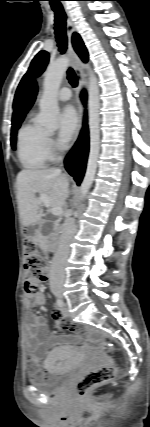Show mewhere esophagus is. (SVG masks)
<instances>
[{
	"instance_id": "esophagus-1",
	"label": "esophagus",
	"mask_w": 150,
	"mask_h": 427,
	"mask_svg": "<svg viewBox=\"0 0 150 427\" xmlns=\"http://www.w3.org/2000/svg\"><path fill=\"white\" fill-rule=\"evenodd\" d=\"M65 12L67 15V19H66V33H67V38H68L67 49H68L69 56L71 58L72 66L75 70V73H76L78 79H79V89L81 90L86 85V79L84 78L83 73H82V68H81L79 57L76 54V52L73 48V45H72V35L75 32V26H74V23H73V21H72V19H71L66 8H65ZM78 110H79V125H78V129H77V132L75 135L74 143L79 136L80 130L82 128V123H83L84 107H83L80 100L78 102Z\"/></svg>"
}]
</instances>
